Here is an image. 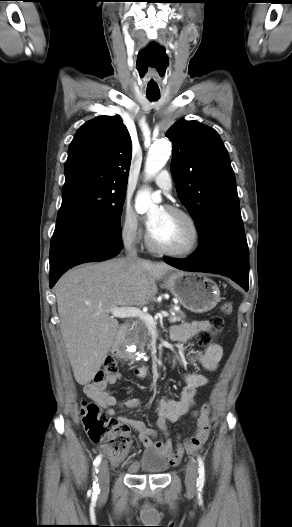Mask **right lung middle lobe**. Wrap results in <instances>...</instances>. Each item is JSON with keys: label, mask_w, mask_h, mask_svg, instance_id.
<instances>
[{"label": "right lung middle lobe", "mask_w": 292, "mask_h": 527, "mask_svg": "<svg viewBox=\"0 0 292 527\" xmlns=\"http://www.w3.org/2000/svg\"><path fill=\"white\" fill-rule=\"evenodd\" d=\"M125 192V189L87 182L64 184L57 222L88 223L121 235L120 217Z\"/></svg>", "instance_id": "obj_1"}]
</instances>
